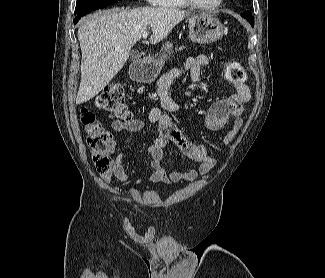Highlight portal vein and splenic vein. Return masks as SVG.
<instances>
[{
    "label": "portal vein and splenic vein",
    "mask_w": 325,
    "mask_h": 278,
    "mask_svg": "<svg viewBox=\"0 0 325 278\" xmlns=\"http://www.w3.org/2000/svg\"><path fill=\"white\" fill-rule=\"evenodd\" d=\"M148 31L147 30H145V31H143V33H142V36H143V38H147V36H148Z\"/></svg>",
    "instance_id": "1"
}]
</instances>
